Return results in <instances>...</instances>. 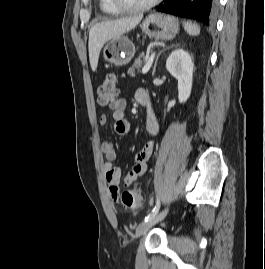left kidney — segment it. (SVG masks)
<instances>
[{
	"instance_id": "left-kidney-1",
	"label": "left kidney",
	"mask_w": 265,
	"mask_h": 269,
	"mask_svg": "<svg viewBox=\"0 0 265 269\" xmlns=\"http://www.w3.org/2000/svg\"><path fill=\"white\" fill-rule=\"evenodd\" d=\"M169 73L178 80V99L185 103L191 94L194 64L189 53L181 48L175 49L166 61Z\"/></svg>"
}]
</instances>
